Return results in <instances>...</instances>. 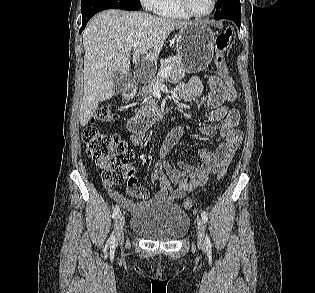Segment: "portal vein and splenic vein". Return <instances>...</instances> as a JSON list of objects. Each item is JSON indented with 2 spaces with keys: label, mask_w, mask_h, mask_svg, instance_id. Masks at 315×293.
Segmentation results:
<instances>
[{
  "label": "portal vein and splenic vein",
  "mask_w": 315,
  "mask_h": 293,
  "mask_svg": "<svg viewBox=\"0 0 315 293\" xmlns=\"http://www.w3.org/2000/svg\"><path fill=\"white\" fill-rule=\"evenodd\" d=\"M139 42L135 43L134 46L137 47ZM171 72V67L161 68L158 72V76H167Z\"/></svg>",
  "instance_id": "1"
}]
</instances>
